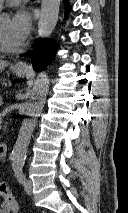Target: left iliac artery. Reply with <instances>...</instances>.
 Masks as SVG:
<instances>
[{
    "instance_id": "44dca946",
    "label": "left iliac artery",
    "mask_w": 128,
    "mask_h": 213,
    "mask_svg": "<svg viewBox=\"0 0 128 213\" xmlns=\"http://www.w3.org/2000/svg\"><path fill=\"white\" fill-rule=\"evenodd\" d=\"M15 176L18 180L19 183L23 184L25 181V177L23 174V165L22 164H17L13 167Z\"/></svg>"
}]
</instances>
